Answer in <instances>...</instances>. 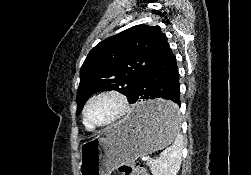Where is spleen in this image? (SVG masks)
Returning <instances> with one entry per match:
<instances>
[{
	"mask_svg": "<svg viewBox=\"0 0 251 175\" xmlns=\"http://www.w3.org/2000/svg\"><path fill=\"white\" fill-rule=\"evenodd\" d=\"M169 115L174 117V121H171L174 131L173 143L166 151H163L159 159L150 161L149 165L153 175H176L180 167L183 137L181 133H178L180 121L177 109H175V107H170Z\"/></svg>",
	"mask_w": 251,
	"mask_h": 175,
	"instance_id": "1",
	"label": "spleen"
}]
</instances>
